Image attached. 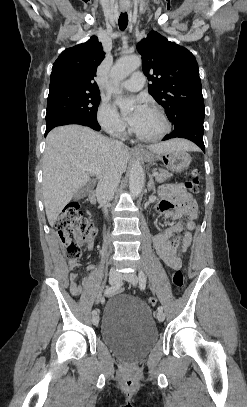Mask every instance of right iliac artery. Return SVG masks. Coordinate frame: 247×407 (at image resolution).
<instances>
[{
	"instance_id": "82829eb1",
	"label": "right iliac artery",
	"mask_w": 247,
	"mask_h": 407,
	"mask_svg": "<svg viewBox=\"0 0 247 407\" xmlns=\"http://www.w3.org/2000/svg\"><path fill=\"white\" fill-rule=\"evenodd\" d=\"M122 285H123V282H120V283H117V284H115V285H113V286H111V287L106 288L105 294H106V295H112V294H114L115 292H117V291L122 287ZM92 314H93V315H96V314H97V311H96V310H93V311H92Z\"/></svg>"
}]
</instances>
